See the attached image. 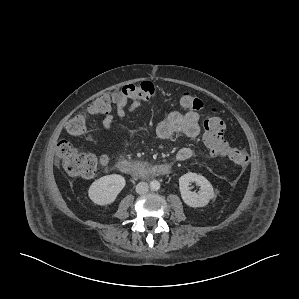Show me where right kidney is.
<instances>
[{
    "label": "right kidney",
    "mask_w": 299,
    "mask_h": 299,
    "mask_svg": "<svg viewBox=\"0 0 299 299\" xmlns=\"http://www.w3.org/2000/svg\"><path fill=\"white\" fill-rule=\"evenodd\" d=\"M125 179L118 174L106 175L95 180L88 190L89 198L97 205H108L115 201L125 187Z\"/></svg>",
    "instance_id": "right-kidney-1"
}]
</instances>
